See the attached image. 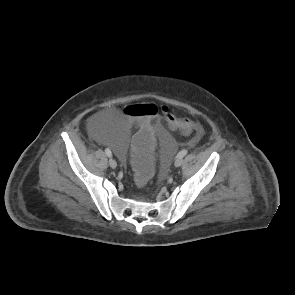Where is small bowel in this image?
<instances>
[{"instance_id":"1","label":"small bowel","mask_w":295,"mask_h":295,"mask_svg":"<svg viewBox=\"0 0 295 295\" xmlns=\"http://www.w3.org/2000/svg\"><path fill=\"white\" fill-rule=\"evenodd\" d=\"M116 116L118 117V113H116ZM195 124H196V136H197V138H199L202 135V129L199 124H197V123H195ZM128 128H133V127H128ZM152 128H153V126H152ZM101 143H103V142H101Z\"/></svg>"}]
</instances>
